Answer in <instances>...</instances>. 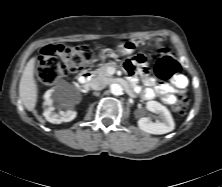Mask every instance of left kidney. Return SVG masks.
<instances>
[{"label":"left kidney","instance_id":"left-kidney-1","mask_svg":"<svg viewBox=\"0 0 222 187\" xmlns=\"http://www.w3.org/2000/svg\"><path fill=\"white\" fill-rule=\"evenodd\" d=\"M147 110L158 114L159 119L152 122L148 117H142L138 120V126L144 132L150 134L161 135L171 132L175 128V124L170 111L157 101H148L146 103Z\"/></svg>","mask_w":222,"mask_h":187}]
</instances>
